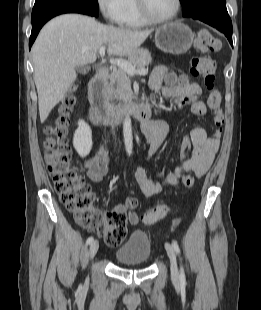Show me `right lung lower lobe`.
<instances>
[{
	"mask_svg": "<svg viewBox=\"0 0 261 310\" xmlns=\"http://www.w3.org/2000/svg\"><path fill=\"white\" fill-rule=\"evenodd\" d=\"M64 13H81V14H86L90 16H95V14L85 8L81 7H76V6H65V5H60V6H53V7H48L40 12L36 13L35 15H32V32L29 40V48H31L33 42L35 41L40 29L42 26L51 18L54 16L64 14Z\"/></svg>",
	"mask_w": 261,
	"mask_h": 310,
	"instance_id": "98d812e1",
	"label": "right lung lower lobe"
}]
</instances>
